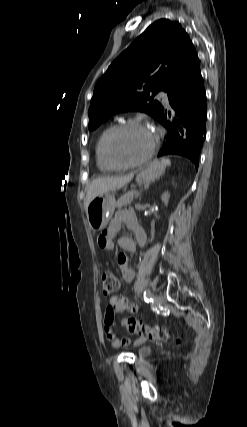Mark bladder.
Returning a JSON list of instances; mask_svg holds the SVG:
<instances>
[{"label": "bladder", "instance_id": "1", "mask_svg": "<svg viewBox=\"0 0 247 427\" xmlns=\"http://www.w3.org/2000/svg\"><path fill=\"white\" fill-rule=\"evenodd\" d=\"M151 353V348L149 346H143L139 349L140 356H147Z\"/></svg>", "mask_w": 247, "mask_h": 427}]
</instances>
